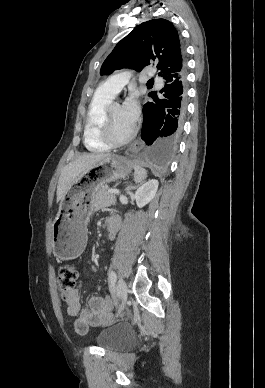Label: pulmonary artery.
Here are the masks:
<instances>
[{
  "label": "pulmonary artery",
  "mask_w": 265,
  "mask_h": 388,
  "mask_svg": "<svg viewBox=\"0 0 265 388\" xmlns=\"http://www.w3.org/2000/svg\"><path fill=\"white\" fill-rule=\"evenodd\" d=\"M127 80L129 82H132L134 80V77L132 75H129L127 77ZM151 80L153 82H162L163 76L162 75H153L151 77ZM127 84V81L125 80L123 75H111L110 79L104 80L103 88L104 90H121L122 86H125Z\"/></svg>",
  "instance_id": "1"
}]
</instances>
